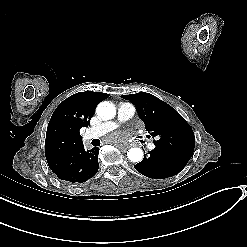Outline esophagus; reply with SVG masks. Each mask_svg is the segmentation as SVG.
<instances>
[{
    "mask_svg": "<svg viewBox=\"0 0 247 247\" xmlns=\"http://www.w3.org/2000/svg\"><path fill=\"white\" fill-rule=\"evenodd\" d=\"M131 146L130 145H119V148L121 149V150H127V149H129Z\"/></svg>",
    "mask_w": 247,
    "mask_h": 247,
    "instance_id": "34e87169",
    "label": "esophagus"
}]
</instances>
